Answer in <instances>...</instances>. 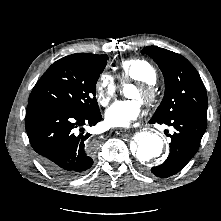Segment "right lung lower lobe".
<instances>
[{
	"mask_svg": "<svg viewBox=\"0 0 221 221\" xmlns=\"http://www.w3.org/2000/svg\"><path fill=\"white\" fill-rule=\"evenodd\" d=\"M102 119L101 113L81 115L70 110L30 102L27 106L25 126L29 141L41 164L60 178H74L93 164L95 145L90 134H78L76 128L94 126Z\"/></svg>",
	"mask_w": 221,
	"mask_h": 221,
	"instance_id": "right-lung-lower-lobe-1",
	"label": "right lung lower lobe"
}]
</instances>
